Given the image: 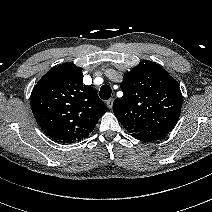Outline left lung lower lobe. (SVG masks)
<instances>
[{"instance_id":"left-lung-lower-lobe-1","label":"left lung lower lobe","mask_w":212,"mask_h":212,"mask_svg":"<svg viewBox=\"0 0 212 212\" xmlns=\"http://www.w3.org/2000/svg\"><path fill=\"white\" fill-rule=\"evenodd\" d=\"M166 135L167 133H162V132H146L140 135H132V136L141 141L152 142V141L160 140L164 138Z\"/></svg>"}]
</instances>
